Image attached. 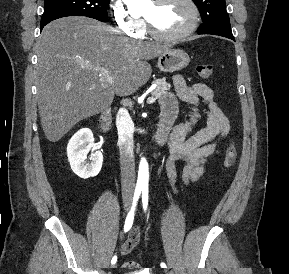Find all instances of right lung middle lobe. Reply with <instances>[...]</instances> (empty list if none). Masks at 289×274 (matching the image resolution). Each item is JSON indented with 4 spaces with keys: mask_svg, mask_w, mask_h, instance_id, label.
Returning a JSON list of instances; mask_svg holds the SVG:
<instances>
[{
    "mask_svg": "<svg viewBox=\"0 0 289 274\" xmlns=\"http://www.w3.org/2000/svg\"><path fill=\"white\" fill-rule=\"evenodd\" d=\"M110 0H45L41 23L67 16H87L107 21Z\"/></svg>",
    "mask_w": 289,
    "mask_h": 274,
    "instance_id": "obj_1",
    "label": "right lung middle lobe"
}]
</instances>
